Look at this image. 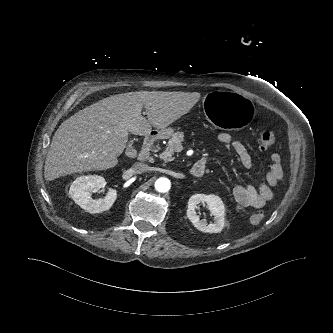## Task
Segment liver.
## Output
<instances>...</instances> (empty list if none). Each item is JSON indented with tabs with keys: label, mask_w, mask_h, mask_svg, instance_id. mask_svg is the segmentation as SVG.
<instances>
[{
	"label": "liver",
	"mask_w": 333,
	"mask_h": 333,
	"mask_svg": "<svg viewBox=\"0 0 333 333\" xmlns=\"http://www.w3.org/2000/svg\"><path fill=\"white\" fill-rule=\"evenodd\" d=\"M200 97L197 92L137 91L113 95L80 110L55 132L45 161V179L115 167L129 132L144 136L152 126L164 129L188 113ZM143 107L147 119L141 115Z\"/></svg>",
	"instance_id": "6515ba94"
}]
</instances>
